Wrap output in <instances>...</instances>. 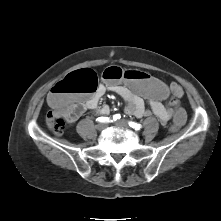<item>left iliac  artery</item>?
<instances>
[{
    "instance_id": "1",
    "label": "left iliac artery",
    "mask_w": 221,
    "mask_h": 221,
    "mask_svg": "<svg viewBox=\"0 0 221 221\" xmlns=\"http://www.w3.org/2000/svg\"><path fill=\"white\" fill-rule=\"evenodd\" d=\"M129 126L135 130H140L142 128L141 124H138L136 122L133 121H129Z\"/></svg>"
}]
</instances>
